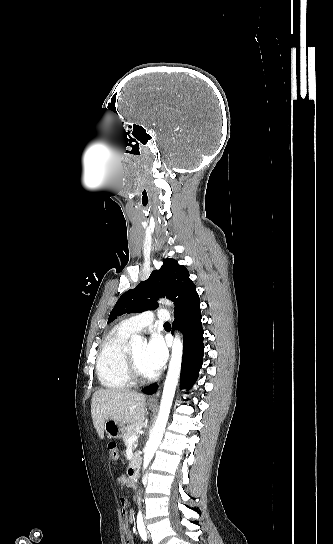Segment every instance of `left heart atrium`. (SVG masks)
I'll use <instances>...</instances> for the list:
<instances>
[{"label": "left heart atrium", "instance_id": "1", "mask_svg": "<svg viewBox=\"0 0 333 544\" xmlns=\"http://www.w3.org/2000/svg\"><path fill=\"white\" fill-rule=\"evenodd\" d=\"M167 359V349L159 335H153L145 347L143 360L146 367L154 373L159 371Z\"/></svg>", "mask_w": 333, "mask_h": 544}]
</instances>
